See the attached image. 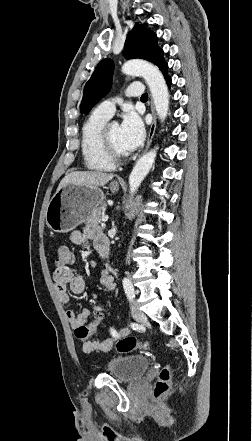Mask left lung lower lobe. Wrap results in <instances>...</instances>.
Returning a JSON list of instances; mask_svg holds the SVG:
<instances>
[{"label":"left lung lower lobe","mask_w":252,"mask_h":441,"mask_svg":"<svg viewBox=\"0 0 252 441\" xmlns=\"http://www.w3.org/2000/svg\"><path fill=\"white\" fill-rule=\"evenodd\" d=\"M156 65L159 67V69H160L161 72L163 73L164 78H165V80H166V82H167V85L170 87V85H171V78H170V77L168 76V74H167L168 65H167V63L165 62L164 58H163V53H162L161 56L159 57L158 62H157Z\"/></svg>","instance_id":"0a47b994"}]
</instances>
